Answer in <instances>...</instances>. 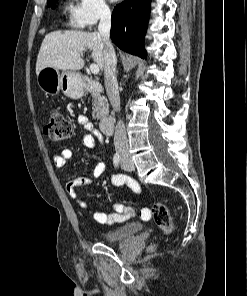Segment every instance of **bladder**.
<instances>
[{"label":"bladder","mask_w":247,"mask_h":296,"mask_svg":"<svg viewBox=\"0 0 247 296\" xmlns=\"http://www.w3.org/2000/svg\"><path fill=\"white\" fill-rule=\"evenodd\" d=\"M141 229V223H129L124 226L104 232L102 234V240L108 243L122 242L138 234Z\"/></svg>","instance_id":"31cf9c89"}]
</instances>
